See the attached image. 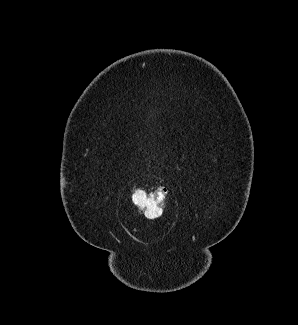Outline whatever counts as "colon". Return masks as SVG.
Wrapping results in <instances>:
<instances>
[{
	"label": "colon",
	"instance_id": "colon-1",
	"mask_svg": "<svg viewBox=\"0 0 298 325\" xmlns=\"http://www.w3.org/2000/svg\"><path fill=\"white\" fill-rule=\"evenodd\" d=\"M167 199V190L156 188L146 190L135 188L131 191V200L135 209L148 218L159 215Z\"/></svg>",
	"mask_w": 298,
	"mask_h": 325
}]
</instances>
